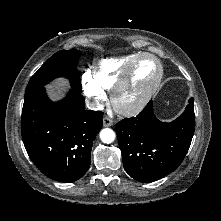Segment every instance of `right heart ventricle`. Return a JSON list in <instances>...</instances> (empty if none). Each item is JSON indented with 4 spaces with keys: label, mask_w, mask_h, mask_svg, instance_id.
I'll list each match as a JSON object with an SVG mask.
<instances>
[{
    "label": "right heart ventricle",
    "mask_w": 221,
    "mask_h": 221,
    "mask_svg": "<svg viewBox=\"0 0 221 221\" xmlns=\"http://www.w3.org/2000/svg\"><path fill=\"white\" fill-rule=\"evenodd\" d=\"M140 54L141 53H132L101 60L93 72L95 81L103 89H113L130 63Z\"/></svg>",
    "instance_id": "1"
}]
</instances>
